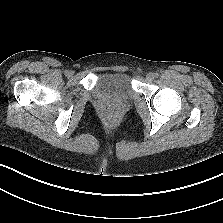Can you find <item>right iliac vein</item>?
<instances>
[{"label": "right iliac vein", "mask_w": 223, "mask_h": 223, "mask_svg": "<svg viewBox=\"0 0 223 223\" xmlns=\"http://www.w3.org/2000/svg\"><path fill=\"white\" fill-rule=\"evenodd\" d=\"M72 74H73L72 72H68V74H67V75H68V76H72Z\"/></svg>", "instance_id": "1"}]
</instances>
